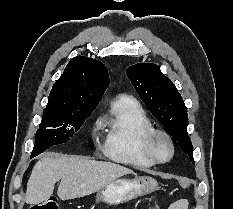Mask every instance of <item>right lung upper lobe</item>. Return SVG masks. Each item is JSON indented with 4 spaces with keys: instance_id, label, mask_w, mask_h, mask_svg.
Segmentation results:
<instances>
[{
    "instance_id": "right-lung-upper-lobe-1",
    "label": "right lung upper lobe",
    "mask_w": 233,
    "mask_h": 209,
    "mask_svg": "<svg viewBox=\"0 0 233 209\" xmlns=\"http://www.w3.org/2000/svg\"><path fill=\"white\" fill-rule=\"evenodd\" d=\"M108 86V70L102 62L85 56L74 57L53 85L44 114L96 107Z\"/></svg>"
}]
</instances>
